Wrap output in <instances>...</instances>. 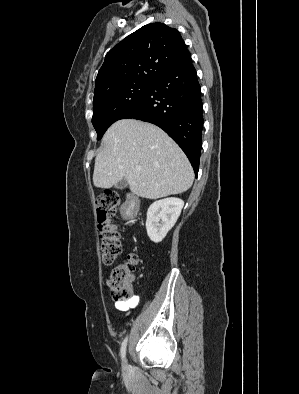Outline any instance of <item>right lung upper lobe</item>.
Segmentation results:
<instances>
[{"label": "right lung upper lobe", "mask_w": 299, "mask_h": 394, "mask_svg": "<svg viewBox=\"0 0 299 394\" xmlns=\"http://www.w3.org/2000/svg\"><path fill=\"white\" fill-rule=\"evenodd\" d=\"M189 54L176 29L163 23L147 24L106 54L94 95L128 83H152Z\"/></svg>", "instance_id": "cb5924a9"}]
</instances>
